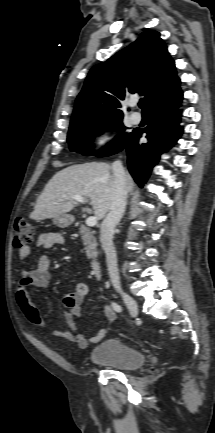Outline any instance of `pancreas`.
<instances>
[{
  "label": "pancreas",
  "mask_w": 215,
  "mask_h": 433,
  "mask_svg": "<svg viewBox=\"0 0 215 433\" xmlns=\"http://www.w3.org/2000/svg\"><path fill=\"white\" fill-rule=\"evenodd\" d=\"M79 233L83 240L87 257L90 259L96 258L98 244L90 228L82 224L79 228Z\"/></svg>",
  "instance_id": "1"
}]
</instances>
